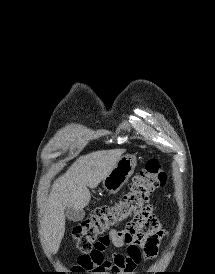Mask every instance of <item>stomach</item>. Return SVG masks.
Returning a JSON list of instances; mask_svg holds the SVG:
<instances>
[{
	"label": "stomach",
	"instance_id": "obj_1",
	"mask_svg": "<svg viewBox=\"0 0 215 274\" xmlns=\"http://www.w3.org/2000/svg\"><path fill=\"white\" fill-rule=\"evenodd\" d=\"M136 164L135 156L123 155L103 180L104 189L109 193H117L133 174Z\"/></svg>",
	"mask_w": 215,
	"mask_h": 274
}]
</instances>
